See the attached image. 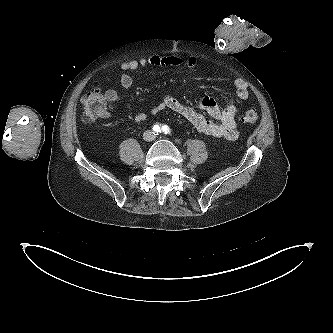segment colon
<instances>
[{"label":"colon","mask_w":333,"mask_h":333,"mask_svg":"<svg viewBox=\"0 0 333 333\" xmlns=\"http://www.w3.org/2000/svg\"><path fill=\"white\" fill-rule=\"evenodd\" d=\"M106 100L102 94L101 85L95 83L83 99L82 120L91 123L97 118L105 116ZM259 119L256 108L249 107L242 115V121L248 125H254Z\"/></svg>","instance_id":"colon-1"}]
</instances>
